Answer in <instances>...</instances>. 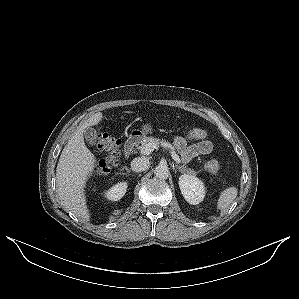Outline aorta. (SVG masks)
Masks as SVG:
<instances>
[{
	"mask_svg": "<svg viewBox=\"0 0 299 299\" xmlns=\"http://www.w3.org/2000/svg\"><path fill=\"white\" fill-rule=\"evenodd\" d=\"M155 177L160 180H165L169 176V170L166 165H158L154 170Z\"/></svg>",
	"mask_w": 299,
	"mask_h": 299,
	"instance_id": "1",
	"label": "aorta"
}]
</instances>
